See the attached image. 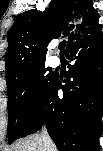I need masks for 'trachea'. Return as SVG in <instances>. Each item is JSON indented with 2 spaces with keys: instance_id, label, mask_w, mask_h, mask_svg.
Masks as SVG:
<instances>
[{
  "instance_id": "1",
  "label": "trachea",
  "mask_w": 103,
  "mask_h": 151,
  "mask_svg": "<svg viewBox=\"0 0 103 151\" xmlns=\"http://www.w3.org/2000/svg\"><path fill=\"white\" fill-rule=\"evenodd\" d=\"M65 46H66V42L65 41H62L60 44H59V50L61 51V54H64V49H65Z\"/></svg>"
}]
</instances>
